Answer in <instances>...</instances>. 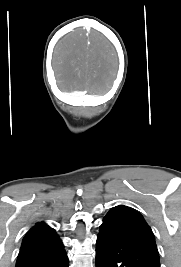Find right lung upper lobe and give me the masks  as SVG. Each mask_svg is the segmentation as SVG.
<instances>
[{"mask_svg": "<svg viewBox=\"0 0 181 267\" xmlns=\"http://www.w3.org/2000/svg\"><path fill=\"white\" fill-rule=\"evenodd\" d=\"M63 248V245L55 231L44 224L37 223L31 228L23 239L21 251H52Z\"/></svg>", "mask_w": 181, "mask_h": 267, "instance_id": "1", "label": "right lung upper lobe"}]
</instances>
